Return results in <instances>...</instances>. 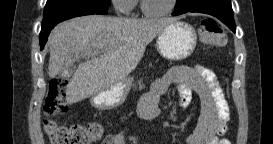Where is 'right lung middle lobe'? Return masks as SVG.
<instances>
[{"instance_id":"obj_1","label":"right lung middle lobe","mask_w":273,"mask_h":144,"mask_svg":"<svg viewBox=\"0 0 273 144\" xmlns=\"http://www.w3.org/2000/svg\"><path fill=\"white\" fill-rule=\"evenodd\" d=\"M111 0H47L44 8V16L55 6L66 3H97L105 6H110Z\"/></svg>"}]
</instances>
